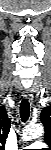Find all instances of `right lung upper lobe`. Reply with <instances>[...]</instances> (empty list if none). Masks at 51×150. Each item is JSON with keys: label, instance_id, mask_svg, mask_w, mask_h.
Returning a JSON list of instances; mask_svg holds the SVG:
<instances>
[{"label": "right lung upper lobe", "instance_id": "right-lung-upper-lobe-1", "mask_svg": "<svg viewBox=\"0 0 51 150\" xmlns=\"http://www.w3.org/2000/svg\"><path fill=\"white\" fill-rule=\"evenodd\" d=\"M11 121L8 118L6 110L3 106L0 107V149H3L7 136L10 131Z\"/></svg>", "mask_w": 51, "mask_h": 150}]
</instances>
